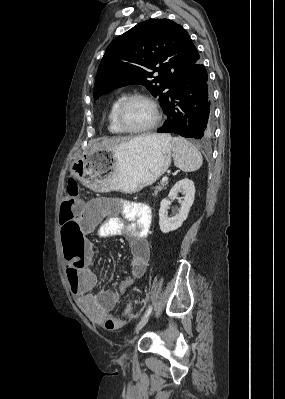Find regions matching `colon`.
<instances>
[{
	"mask_svg": "<svg viewBox=\"0 0 285 399\" xmlns=\"http://www.w3.org/2000/svg\"><path fill=\"white\" fill-rule=\"evenodd\" d=\"M79 186L74 179L67 185V194L61 204L60 222L63 228V240L67 246L66 272L69 277H76L84 268L86 260L85 249L77 239L79 223L75 219V210L80 206L78 196ZM130 307H126L124 315L129 314Z\"/></svg>",
	"mask_w": 285,
	"mask_h": 399,
	"instance_id": "colon-1",
	"label": "colon"
}]
</instances>
